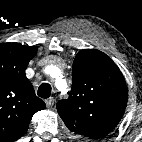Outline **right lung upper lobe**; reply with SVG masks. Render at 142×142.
<instances>
[{"instance_id":"obj_1","label":"right lung upper lobe","mask_w":142,"mask_h":142,"mask_svg":"<svg viewBox=\"0 0 142 142\" xmlns=\"http://www.w3.org/2000/svg\"><path fill=\"white\" fill-rule=\"evenodd\" d=\"M36 52L20 43L0 44V142L21 138L32 116L46 107L25 75Z\"/></svg>"}]
</instances>
